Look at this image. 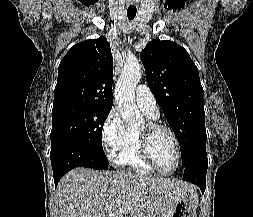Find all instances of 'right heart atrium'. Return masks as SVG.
<instances>
[{"label":"right heart atrium","instance_id":"obj_1","mask_svg":"<svg viewBox=\"0 0 253 217\" xmlns=\"http://www.w3.org/2000/svg\"><path fill=\"white\" fill-rule=\"evenodd\" d=\"M128 129L118 110L113 108L106 116L101 127V139L108 158L115 160L116 154L128 139Z\"/></svg>","mask_w":253,"mask_h":217}]
</instances>
